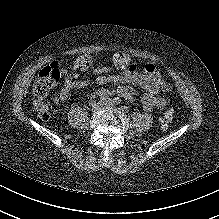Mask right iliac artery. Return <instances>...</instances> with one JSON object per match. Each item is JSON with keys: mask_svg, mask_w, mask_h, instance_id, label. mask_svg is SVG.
I'll return each mask as SVG.
<instances>
[{"mask_svg": "<svg viewBox=\"0 0 219 219\" xmlns=\"http://www.w3.org/2000/svg\"><path fill=\"white\" fill-rule=\"evenodd\" d=\"M111 101V98L109 96H101L100 97V102L101 103H107V102H110ZM94 103H91V105H93Z\"/></svg>", "mask_w": 219, "mask_h": 219, "instance_id": "82829eb1", "label": "right iliac artery"}]
</instances>
